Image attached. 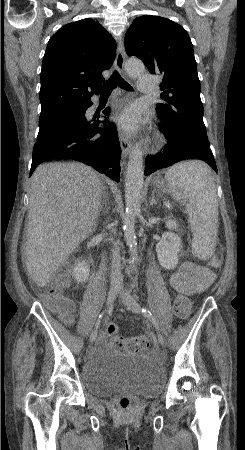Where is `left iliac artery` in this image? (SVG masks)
<instances>
[{
    "label": "left iliac artery",
    "instance_id": "44dca946",
    "mask_svg": "<svg viewBox=\"0 0 245 450\" xmlns=\"http://www.w3.org/2000/svg\"><path fill=\"white\" fill-rule=\"evenodd\" d=\"M142 313L145 318H147L148 320H150L152 322L155 329L159 331V325H158L155 317L151 314V312L149 310H147L146 308H142Z\"/></svg>",
    "mask_w": 245,
    "mask_h": 450
}]
</instances>
